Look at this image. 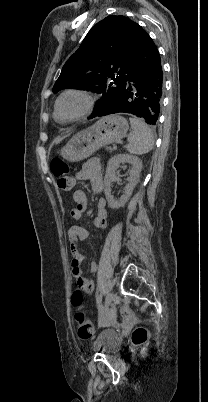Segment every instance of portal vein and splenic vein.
I'll use <instances>...</instances> for the list:
<instances>
[{
  "mask_svg": "<svg viewBox=\"0 0 208 402\" xmlns=\"http://www.w3.org/2000/svg\"><path fill=\"white\" fill-rule=\"evenodd\" d=\"M113 148H114V150H116V149L118 148V145H117V144H114V145H113Z\"/></svg>",
  "mask_w": 208,
  "mask_h": 402,
  "instance_id": "portal-vein-and-splenic-vein-1",
  "label": "portal vein and splenic vein"
}]
</instances>
